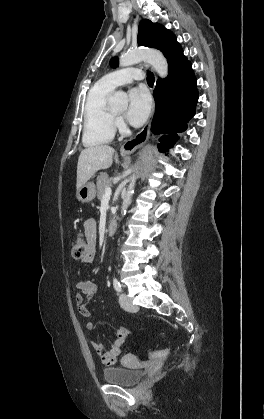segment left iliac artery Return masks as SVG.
Returning <instances> with one entry per match:
<instances>
[{
  "mask_svg": "<svg viewBox=\"0 0 264 419\" xmlns=\"http://www.w3.org/2000/svg\"><path fill=\"white\" fill-rule=\"evenodd\" d=\"M113 286H114V289H115L117 292H121V291H122L121 284H120V282L118 281V279H117V278H115V277H114V279H113Z\"/></svg>",
  "mask_w": 264,
  "mask_h": 419,
  "instance_id": "1",
  "label": "left iliac artery"
}]
</instances>
